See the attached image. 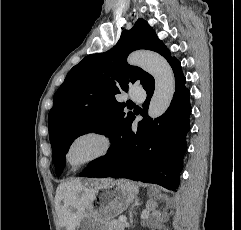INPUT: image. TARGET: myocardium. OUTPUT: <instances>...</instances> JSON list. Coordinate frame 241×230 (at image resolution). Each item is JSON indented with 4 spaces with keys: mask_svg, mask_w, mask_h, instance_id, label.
Wrapping results in <instances>:
<instances>
[{
    "mask_svg": "<svg viewBox=\"0 0 241 230\" xmlns=\"http://www.w3.org/2000/svg\"><path fill=\"white\" fill-rule=\"evenodd\" d=\"M84 137H94L101 142V149L92 157L82 161L79 164L73 165L69 161V152L72 145L79 139ZM113 148V140L111 136L105 132L104 130L97 129V128H90L80 131L79 133L75 134L68 142L65 151H64V160L68 168L71 170L80 169L86 165L99 161L105 158L107 155L110 154Z\"/></svg>",
    "mask_w": 241,
    "mask_h": 230,
    "instance_id": "myocardium-1",
    "label": "myocardium"
}]
</instances>
